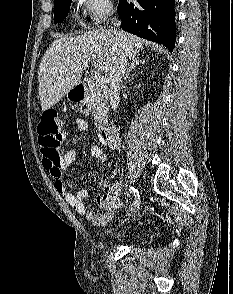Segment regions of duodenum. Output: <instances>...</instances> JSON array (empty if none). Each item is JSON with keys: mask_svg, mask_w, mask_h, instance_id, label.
<instances>
[{"mask_svg": "<svg viewBox=\"0 0 233 294\" xmlns=\"http://www.w3.org/2000/svg\"><path fill=\"white\" fill-rule=\"evenodd\" d=\"M86 87L83 84H78L75 86L73 92L76 98L81 99L83 98L85 94ZM101 137L103 141L109 146V147H116L118 144V137L116 133L111 130L110 128H104L101 132Z\"/></svg>", "mask_w": 233, "mask_h": 294, "instance_id": "obj_1", "label": "duodenum"}]
</instances>
